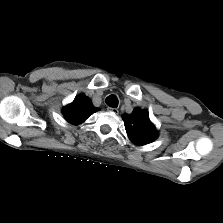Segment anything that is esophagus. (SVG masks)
Instances as JSON below:
<instances>
[{"instance_id": "1", "label": "esophagus", "mask_w": 223, "mask_h": 223, "mask_svg": "<svg viewBox=\"0 0 223 223\" xmlns=\"http://www.w3.org/2000/svg\"><path fill=\"white\" fill-rule=\"evenodd\" d=\"M107 111L110 112V113H113V114H118L119 113L118 109L112 108V107H108Z\"/></svg>"}]
</instances>
